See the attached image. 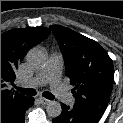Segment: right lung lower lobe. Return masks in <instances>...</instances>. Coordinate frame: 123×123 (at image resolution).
<instances>
[{"label": "right lung lower lobe", "mask_w": 123, "mask_h": 123, "mask_svg": "<svg viewBox=\"0 0 123 123\" xmlns=\"http://www.w3.org/2000/svg\"><path fill=\"white\" fill-rule=\"evenodd\" d=\"M34 104V98L26 97L22 101L1 107V123H24L25 111Z\"/></svg>", "instance_id": "1"}]
</instances>
